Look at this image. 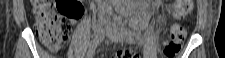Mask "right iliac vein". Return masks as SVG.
<instances>
[{
  "mask_svg": "<svg viewBox=\"0 0 225 58\" xmlns=\"http://www.w3.org/2000/svg\"><path fill=\"white\" fill-rule=\"evenodd\" d=\"M104 22H99L95 31H94V35H93V39L92 42H94V44H99V41L102 37V27H103Z\"/></svg>",
  "mask_w": 225,
  "mask_h": 58,
  "instance_id": "right-iliac-vein-1",
  "label": "right iliac vein"
}]
</instances>
